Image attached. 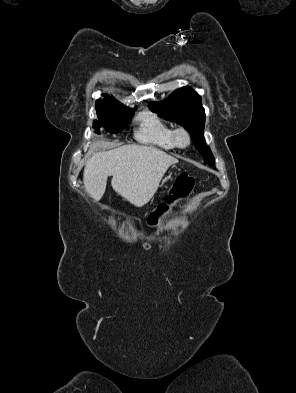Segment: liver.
Wrapping results in <instances>:
<instances>
[{
	"instance_id": "liver-1",
	"label": "liver",
	"mask_w": 296,
	"mask_h": 393,
	"mask_svg": "<svg viewBox=\"0 0 296 393\" xmlns=\"http://www.w3.org/2000/svg\"><path fill=\"white\" fill-rule=\"evenodd\" d=\"M177 162L164 151L144 145H124L94 153L84 168V187L94 201H99L108 176H112L114 191L141 207L151 200L167 169Z\"/></svg>"
}]
</instances>
